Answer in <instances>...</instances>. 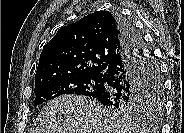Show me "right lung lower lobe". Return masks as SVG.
Wrapping results in <instances>:
<instances>
[{"instance_id": "1", "label": "right lung lower lobe", "mask_w": 184, "mask_h": 133, "mask_svg": "<svg viewBox=\"0 0 184 133\" xmlns=\"http://www.w3.org/2000/svg\"><path fill=\"white\" fill-rule=\"evenodd\" d=\"M121 28V48L103 73L104 89L95 96L106 106L129 100H143L150 85L149 59L151 53L134 26L121 15H115Z\"/></svg>"}]
</instances>
